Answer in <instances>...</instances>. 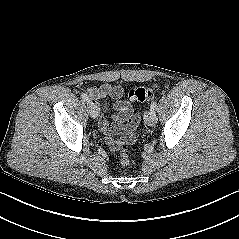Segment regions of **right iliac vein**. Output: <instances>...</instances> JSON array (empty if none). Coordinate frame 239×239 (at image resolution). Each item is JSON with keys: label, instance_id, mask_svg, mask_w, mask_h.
Masks as SVG:
<instances>
[{"label": "right iliac vein", "instance_id": "1", "mask_svg": "<svg viewBox=\"0 0 239 239\" xmlns=\"http://www.w3.org/2000/svg\"><path fill=\"white\" fill-rule=\"evenodd\" d=\"M88 111H89L90 116L93 119H96L99 116L98 107L92 101L88 102Z\"/></svg>", "mask_w": 239, "mask_h": 239}]
</instances>
